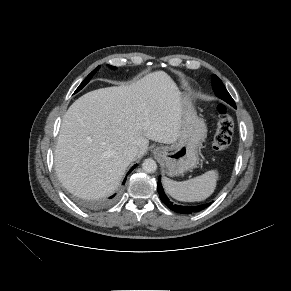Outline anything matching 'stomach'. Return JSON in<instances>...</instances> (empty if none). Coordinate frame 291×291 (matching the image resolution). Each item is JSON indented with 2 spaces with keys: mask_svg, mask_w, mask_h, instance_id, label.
Segmentation results:
<instances>
[{
  "mask_svg": "<svg viewBox=\"0 0 291 291\" xmlns=\"http://www.w3.org/2000/svg\"><path fill=\"white\" fill-rule=\"evenodd\" d=\"M181 96L183 112L178 140L171 146L157 147L153 151L164 162L169 176H178L196 167L200 145L207 136V126L197 115L186 92H181Z\"/></svg>",
  "mask_w": 291,
  "mask_h": 291,
  "instance_id": "0dacf381",
  "label": "stomach"
}]
</instances>
